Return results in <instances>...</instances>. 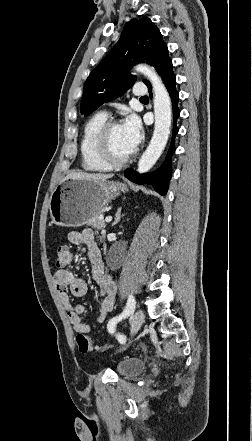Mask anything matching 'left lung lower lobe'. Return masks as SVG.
<instances>
[{
    "label": "left lung lower lobe",
    "mask_w": 252,
    "mask_h": 441,
    "mask_svg": "<svg viewBox=\"0 0 252 441\" xmlns=\"http://www.w3.org/2000/svg\"><path fill=\"white\" fill-rule=\"evenodd\" d=\"M157 72L161 76L165 87L167 88L171 102H172V108H173V133H172V142L169 147L167 156L163 162V164L154 172L152 173H145V174H138L137 172L133 171V169H128L125 171V176L137 183V184H149L153 185L155 190L161 194L165 195L168 191V182L171 178V157L175 151L174 147V138L176 134L178 133V127L176 126V120L180 115V110L178 108V100H179V94L175 88L176 85V77L173 73V65L172 61L169 58L168 55V49L166 48L163 53L161 54L157 67ZM149 87L150 84H147ZM150 92V87H149ZM150 96H152L150 94Z\"/></svg>",
    "instance_id": "1"
}]
</instances>
